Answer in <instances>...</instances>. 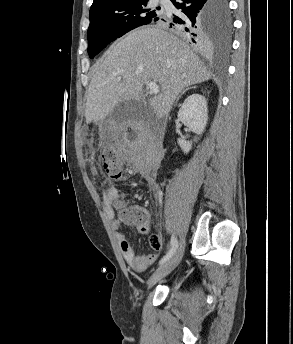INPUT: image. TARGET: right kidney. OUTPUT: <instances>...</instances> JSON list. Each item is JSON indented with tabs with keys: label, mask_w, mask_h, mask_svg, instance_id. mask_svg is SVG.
I'll return each instance as SVG.
<instances>
[{
	"label": "right kidney",
	"mask_w": 293,
	"mask_h": 344,
	"mask_svg": "<svg viewBox=\"0 0 293 344\" xmlns=\"http://www.w3.org/2000/svg\"><path fill=\"white\" fill-rule=\"evenodd\" d=\"M178 119L197 136L201 135L208 121V109L206 98L200 94H192L184 101L179 112ZM195 137L194 141L197 142ZM178 144L184 153L192 148V141L178 139Z\"/></svg>",
	"instance_id": "obj_1"
}]
</instances>
